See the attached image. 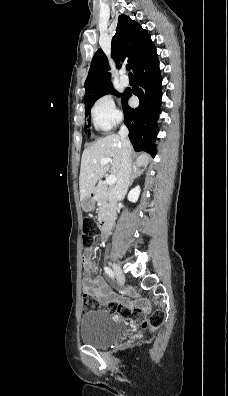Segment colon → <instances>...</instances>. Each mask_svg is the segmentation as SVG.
I'll list each match as a JSON object with an SVG mask.
<instances>
[{
	"mask_svg": "<svg viewBox=\"0 0 228 396\" xmlns=\"http://www.w3.org/2000/svg\"><path fill=\"white\" fill-rule=\"evenodd\" d=\"M95 230V224L93 220L89 218H85L83 221V229H82V241L85 246L84 256H87V250L91 243L90 233ZM100 304L99 301L92 295L84 294L82 300V310L84 312H89L93 310H97ZM109 311L112 314L118 313L122 317L127 319H135L138 315L130 310L127 307H123L122 305L110 304ZM140 317V316H139ZM141 319V317H140ZM164 321V314L161 311L153 312L146 320L142 321L143 327H148L150 329H156L162 325Z\"/></svg>",
	"mask_w": 228,
	"mask_h": 396,
	"instance_id": "obj_1",
	"label": "colon"
}]
</instances>
